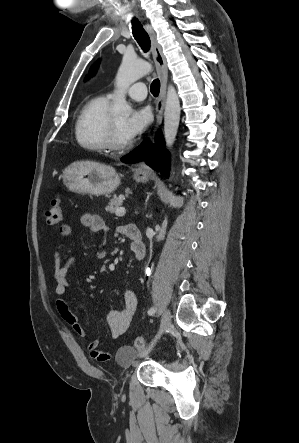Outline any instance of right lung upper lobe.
Segmentation results:
<instances>
[{
    "label": "right lung upper lobe",
    "instance_id": "1",
    "mask_svg": "<svg viewBox=\"0 0 299 443\" xmlns=\"http://www.w3.org/2000/svg\"><path fill=\"white\" fill-rule=\"evenodd\" d=\"M97 65H98V62H97V63L94 65V67L91 69V73H93V72L96 71Z\"/></svg>",
    "mask_w": 299,
    "mask_h": 443
}]
</instances>
